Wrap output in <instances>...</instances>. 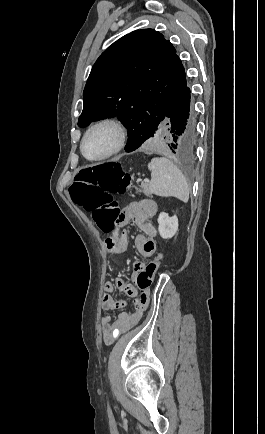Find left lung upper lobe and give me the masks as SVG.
<instances>
[{"mask_svg":"<svg viewBox=\"0 0 265 434\" xmlns=\"http://www.w3.org/2000/svg\"><path fill=\"white\" fill-rule=\"evenodd\" d=\"M186 82L183 64L162 34L153 29L133 31L94 64L78 126L117 116L128 135L136 128H156Z\"/></svg>","mask_w":265,"mask_h":434,"instance_id":"5c2ea615","label":"left lung upper lobe"}]
</instances>
